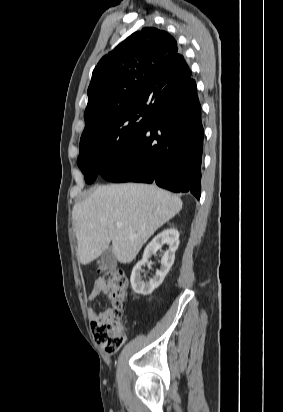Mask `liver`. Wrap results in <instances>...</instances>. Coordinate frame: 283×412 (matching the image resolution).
<instances>
[{
    "instance_id": "obj_1",
    "label": "liver",
    "mask_w": 283,
    "mask_h": 412,
    "mask_svg": "<svg viewBox=\"0 0 283 412\" xmlns=\"http://www.w3.org/2000/svg\"><path fill=\"white\" fill-rule=\"evenodd\" d=\"M181 209L179 197L155 185L99 186L73 207L79 262L86 265L97 259L110 242L120 263L132 262L154 232Z\"/></svg>"
}]
</instances>
